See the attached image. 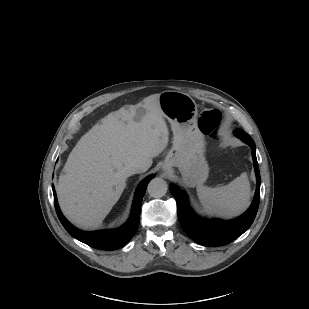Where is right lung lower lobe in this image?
<instances>
[{"label": "right lung lower lobe", "instance_id": "98d812e1", "mask_svg": "<svg viewBox=\"0 0 309 309\" xmlns=\"http://www.w3.org/2000/svg\"><path fill=\"white\" fill-rule=\"evenodd\" d=\"M154 175L145 178L138 186L132 206L129 220L119 229L107 231L85 232L71 225L60 211L54 185L52 184L54 205L58 218L64 228L77 240L100 250H115L131 240L134 236L140 220V208L146 187Z\"/></svg>", "mask_w": 309, "mask_h": 309}]
</instances>
